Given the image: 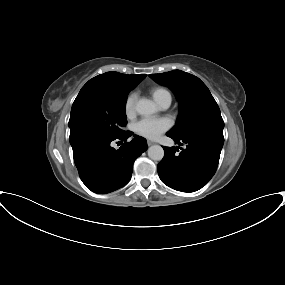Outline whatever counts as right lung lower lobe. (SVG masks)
Wrapping results in <instances>:
<instances>
[{
  "label": "right lung lower lobe",
  "instance_id": "obj_1",
  "mask_svg": "<svg viewBox=\"0 0 285 285\" xmlns=\"http://www.w3.org/2000/svg\"><path fill=\"white\" fill-rule=\"evenodd\" d=\"M132 134L130 131L117 137L90 134L71 142L74 162L88 189L105 194L127 184L134 161L147 150V142L140 136L125 143ZM114 140L124 141V144L115 150L111 146Z\"/></svg>",
  "mask_w": 285,
  "mask_h": 285
}]
</instances>
